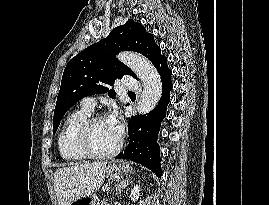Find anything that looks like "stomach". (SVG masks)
Masks as SVG:
<instances>
[{"instance_id": "stomach-1", "label": "stomach", "mask_w": 269, "mask_h": 205, "mask_svg": "<svg viewBox=\"0 0 269 205\" xmlns=\"http://www.w3.org/2000/svg\"><path fill=\"white\" fill-rule=\"evenodd\" d=\"M130 171L127 163L111 164L106 169V176L111 180H119ZM95 200L90 195H83L74 199L70 205H95Z\"/></svg>"}]
</instances>
